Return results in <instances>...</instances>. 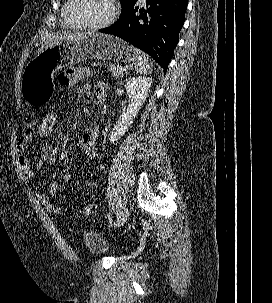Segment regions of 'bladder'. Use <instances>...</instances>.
Returning <instances> with one entry per match:
<instances>
[{
	"mask_svg": "<svg viewBox=\"0 0 272 303\" xmlns=\"http://www.w3.org/2000/svg\"><path fill=\"white\" fill-rule=\"evenodd\" d=\"M84 247L93 255L110 254L113 246L107 236L95 229H84L81 237Z\"/></svg>",
	"mask_w": 272,
	"mask_h": 303,
	"instance_id": "obj_1",
	"label": "bladder"
}]
</instances>
